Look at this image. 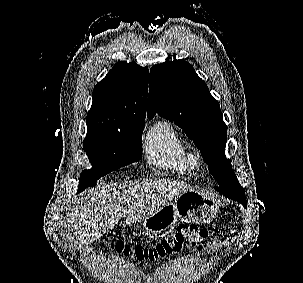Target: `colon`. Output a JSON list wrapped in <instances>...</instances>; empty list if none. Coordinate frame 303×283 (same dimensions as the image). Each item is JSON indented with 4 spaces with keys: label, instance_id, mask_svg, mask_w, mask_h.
Returning a JSON list of instances; mask_svg holds the SVG:
<instances>
[{
    "label": "colon",
    "instance_id": "obj_1",
    "mask_svg": "<svg viewBox=\"0 0 303 283\" xmlns=\"http://www.w3.org/2000/svg\"><path fill=\"white\" fill-rule=\"evenodd\" d=\"M207 237V231L194 225H182L171 236L149 246H130L117 242L111 245V250L131 256L139 261H153L181 252L185 248H201Z\"/></svg>",
    "mask_w": 303,
    "mask_h": 283
}]
</instances>
